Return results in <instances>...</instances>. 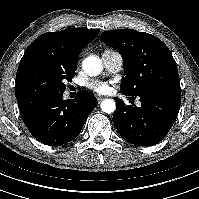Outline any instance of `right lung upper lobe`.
<instances>
[{"label": "right lung upper lobe", "mask_w": 199, "mask_h": 199, "mask_svg": "<svg viewBox=\"0 0 199 199\" xmlns=\"http://www.w3.org/2000/svg\"><path fill=\"white\" fill-rule=\"evenodd\" d=\"M99 31L70 28L42 34L28 46L21 62L32 57H40L63 68L77 66L78 55L96 38Z\"/></svg>", "instance_id": "1"}]
</instances>
